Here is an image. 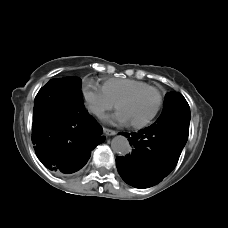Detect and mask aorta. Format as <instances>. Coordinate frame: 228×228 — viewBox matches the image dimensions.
I'll return each mask as SVG.
<instances>
[{"label":"aorta","instance_id":"obj_1","mask_svg":"<svg viewBox=\"0 0 228 228\" xmlns=\"http://www.w3.org/2000/svg\"><path fill=\"white\" fill-rule=\"evenodd\" d=\"M111 148L119 155H126L131 150L128 139L122 135H118L112 139Z\"/></svg>","mask_w":228,"mask_h":228}]
</instances>
